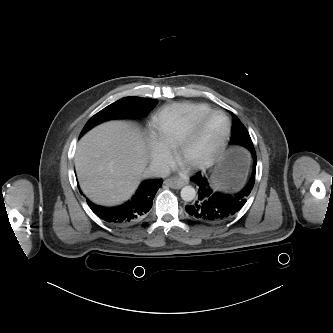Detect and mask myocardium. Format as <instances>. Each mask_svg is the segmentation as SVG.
<instances>
[{
    "label": "myocardium",
    "mask_w": 333,
    "mask_h": 333,
    "mask_svg": "<svg viewBox=\"0 0 333 333\" xmlns=\"http://www.w3.org/2000/svg\"><path fill=\"white\" fill-rule=\"evenodd\" d=\"M217 115L222 116L226 121V125L222 135L217 140L212 150L206 157L198 160H187L188 151L192 146L193 142L195 141V139L197 138V136L199 135L203 125L209 119ZM230 133H231V120L229 116L222 110L212 109L210 112H208L204 116L194 121L192 125L189 127L188 131L186 132L184 137L181 139V141L178 143V145L175 148L176 161L192 171L203 170L211 167L217 161L223 149L225 148Z\"/></svg>",
    "instance_id": "f54148a6"
}]
</instances>
